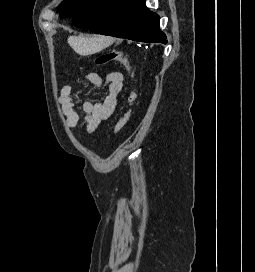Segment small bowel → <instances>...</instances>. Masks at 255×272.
Returning a JSON list of instances; mask_svg holds the SVG:
<instances>
[{
  "instance_id": "c3829d8e",
  "label": "small bowel",
  "mask_w": 255,
  "mask_h": 272,
  "mask_svg": "<svg viewBox=\"0 0 255 272\" xmlns=\"http://www.w3.org/2000/svg\"><path fill=\"white\" fill-rule=\"evenodd\" d=\"M84 80L97 88L106 86L107 93L102 101H86L78 106L72 98V87L67 84L60 91L59 102L68 126L73 129L84 126L86 132L91 134L102 121L113 115L117 106L118 95L123 87V75L120 72H110L103 82L98 74L91 72L85 75ZM78 109L82 113H79Z\"/></svg>"
}]
</instances>
